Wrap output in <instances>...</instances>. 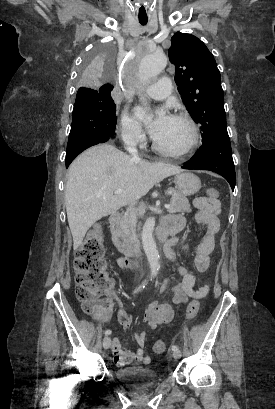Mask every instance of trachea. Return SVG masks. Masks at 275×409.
Here are the masks:
<instances>
[{
  "mask_svg": "<svg viewBox=\"0 0 275 409\" xmlns=\"http://www.w3.org/2000/svg\"><path fill=\"white\" fill-rule=\"evenodd\" d=\"M147 22H148L147 19H146V20H140V19H139V23H140L141 25H146Z\"/></svg>",
  "mask_w": 275,
  "mask_h": 409,
  "instance_id": "obj_1",
  "label": "trachea"
}]
</instances>
